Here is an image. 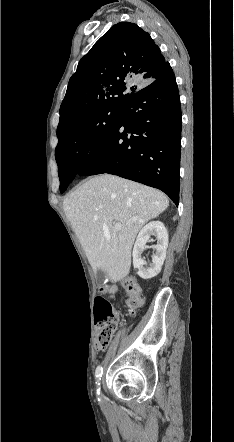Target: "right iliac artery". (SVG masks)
Returning <instances> with one entry per match:
<instances>
[{
    "instance_id": "1",
    "label": "right iliac artery",
    "mask_w": 234,
    "mask_h": 442,
    "mask_svg": "<svg viewBox=\"0 0 234 442\" xmlns=\"http://www.w3.org/2000/svg\"><path fill=\"white\" fill-rule=\"evenodd\" d=\"M102 373H103V368H102V366L99 365L95 371L96 383L98 386L100 385V379L102 377ZM97 394L98 395L100 394V388H98Z\"/></svg>"
}]
</instances>
